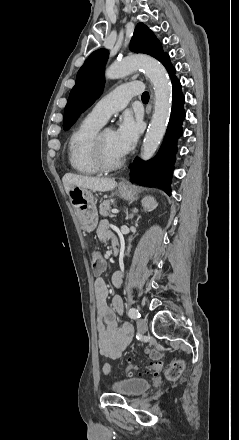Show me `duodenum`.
Instances as JSON below:
<instances>
[{"label": "duodenum", "instance_id": "duodenum-1", "mask_svg": "<svg viewBox=\"0 0 239 440\" xmlns=\"http://www.w3.org/2000/svg\"><path fill=\"white\" fill-rule=\"evenodd\" d=\"M114 253L117 254L118 253V248L116 245H114Z\"/></svg>", "mask_w": 239, "mask_h": 440}]
</instances>
